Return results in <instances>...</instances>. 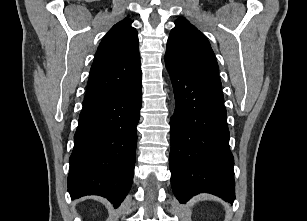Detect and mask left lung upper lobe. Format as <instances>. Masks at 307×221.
<instances>
[{"label":"left lung upper lobe","instance_id":"5c2ea615","mask_svg":"<svg viewBox=\"0 0 307 221\" xmlns=\"http://www.w3.org/2000/svg\"><path fill=\"white\" fill-rule=\"evenodd\" d=\"M166 49L172 59L205 86L222 93L218 64L207 38L185 18L175 21Z\"/></svg>","mask_w":307,"mask_h":221}]
</instances>
